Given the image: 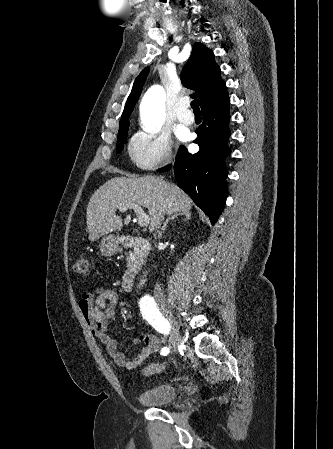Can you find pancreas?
Here are the masks:
<instances>
[{
    "instance_id": "pancreas-1",
    "label": "pancreas",
    "mask_w": 333,
    "mask_h": 449,
    "mask_svg": "<svg viewBox=\"0 0 333 449\" xmlns=\"http://www.w3.org/2000/svg\"><path fill=\"white\" fill-rule=\"evenodd\" d=\"M132 257V254H130L129 259Z\"/></svg>"
}]
</instances>
